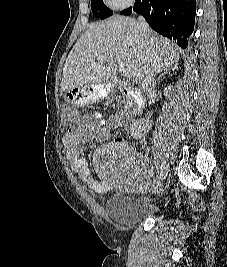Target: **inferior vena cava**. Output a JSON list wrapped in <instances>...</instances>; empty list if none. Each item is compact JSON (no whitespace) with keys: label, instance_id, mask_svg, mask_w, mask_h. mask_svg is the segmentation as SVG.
<instances>
[{"label":"inferior vena cava","instance_id":"602c4592","mask_svg":"<svg viewBox=\"0 0 227 267\" xmlns=\"http://www.w3.org/2000/svg\"><path fill=\"white\" fill-rule=\"evenodd\" d=\"M137 26H138V30L140 31V34L143 37H146L147 34L149 33V26L147 24V22L145 21V19L142 16L138 17L137 20ZM142 87L144 89V91H152L154 89L155 86V74L152 70L148 71L145 75V78L142 82Z\"/></svg>","mask_w":227,"mask_h":267}]
</instances>
